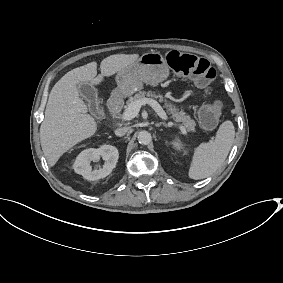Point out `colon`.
Instances as JSON below:
<instances>
[{
    "mask_svg": "<svg viewBox=\"0 0 283 283\" xmlns=\"http://www.w3.org/2000/svg\"><path fill=\"white\" fill-rule=\"evenodd\" d=\"M167 62L174 72L192 77L203 88H207L216 77L215 69L202 57L171 51L167 55ZM220 112L221 106L217 101L203 104L198 113L201 124L205 128H213L217 124Z\"/></svg>",
    "mask_w": 283,
    "mask_h": 283,
    "instance_id": "colon-1",
    "label": "colon"
}]
</instances>
